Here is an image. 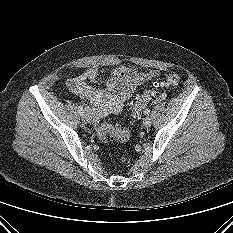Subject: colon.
Here are the masks:
<instances>
[{
	"mask_svg": "<svg viewBox=\"0 0 233 233\" xmlns=\"http://www.w3.org/2000/svg\"><path fill=\"white\" fill-rule=\"evenodd\" d=\"M179 82V75L170 74L160 82H156L152 88L147 89L139 94L132 104V119H138L146 105L162 98V95L158 92V89L175 87L179 84ZM97 136L99 140L104 143L107 142L109 138L125 142L130 139L131 132L129 128H120L109 123H102L97 127ZM121 160L124 161L125 158L122 157Z\"/></svg>",
	"mask_w": 233,
	"mask_h": 233,
	"instance_id": "1",
	"label": "colon"
}]
</instances>
